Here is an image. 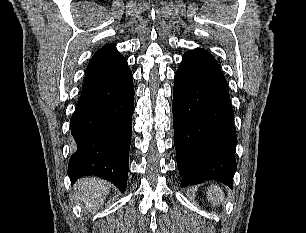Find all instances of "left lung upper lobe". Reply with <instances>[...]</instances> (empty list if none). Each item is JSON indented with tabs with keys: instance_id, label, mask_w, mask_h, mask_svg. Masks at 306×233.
I'll return each mask as SVG.
<instances>
[{
	"instance_id": "left-lung-upper-lobe-1",
	"label": "left lung upper lobe",
	"mask_w": 306,
	"mask_h": 233,
	"mask_svg": "<svg viewBox=\"0 0 306 233\" xmlns=\"http://www.w3.org/2000/svg\"><path fill=\"white\" fill-rule=\"evenodd\" d=\"M197 50H200V51H205V52H207L206 50H203V49H197Z\"/></svg>"
}]
</instances>
